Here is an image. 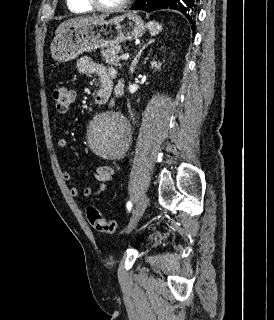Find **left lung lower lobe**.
<instances>
[{
	"label": "left lung lower lobe",
	"instance_id": "left-lung-lower-lobe-1",
	"mask_svg": "<svg viewBox=\"0 0 274 320\" xmlns=\"http://www.w3.org/2000/svg\"><path fill=\"white\" fill-rule=\"evenodd\" d=\"M198 0H137L132 10L152 12L158 9H174L183 13L191 24L196 16Z\"/></svg>",
	"mask_w": 274,
	"mask_h": 320
}]
</instances>
